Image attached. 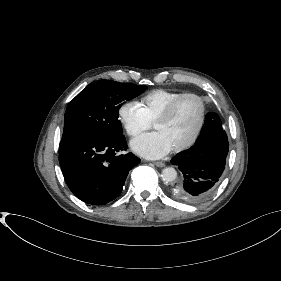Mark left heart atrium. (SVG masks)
<instances>
[{"mask_svg": "<svg viewBox=\"0 0 281 281\" xmlns=\"http://www.w3.org/2000/svg\"><path fill=\"white\" fill-rule=\"evenodd\" d=\"M132 149L139 155L157 159L167 155L171 150V145L159 132L143 134L131 142Z\"/></svg>", "mask_w": 281, "mask_h": 281, "instance_id": "obj_1", "label": "left heart atrium"}]
</instances>
